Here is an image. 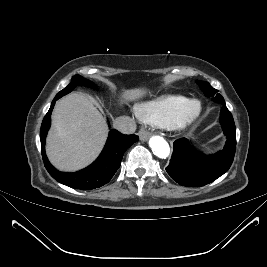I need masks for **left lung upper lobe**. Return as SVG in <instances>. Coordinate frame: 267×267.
Masks as SVG:
<instances>
[{
  "mask_svg": "<svg viewBox=\"0 0 267 267\" xmlns=\"http://www.w3.org/2000/svg\"><path fill=\"white\" fill-rule=\"evenodd\" d=\"M197 84L200 86L201 90L204 92L206 96L212 97L215 102L225 105L223 97L220 94H218L217 93L218 91L214 89L209 83L203 81H197Z\"/></svg>",
  "mask_w": 267,
  "mask_h": 267,
  "instance_id": "1",
  "label": "left lung upper lobe"
}]
</instances>
